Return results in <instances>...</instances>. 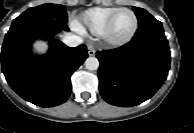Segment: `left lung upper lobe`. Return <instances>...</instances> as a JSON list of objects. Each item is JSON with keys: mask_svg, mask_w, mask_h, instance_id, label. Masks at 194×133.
Segmentation results:
<instances>
[{"mask_svg": "<svg viewBox=\"0 0 194 133\" xmlns=\"http://www.w3.org/2000/svg\"><path fill=\"white\" fill-rule=\"evenodd\" d=\"M134 12L136 13V16L138 17L139 25L144 24L148 21L154 20L155 18L148 13L145 9L133 7Z\"/></svg>", "mask_w": 194, "mask_h": 133, "instance_id": "obj_1", "label": "left lung upper lobe"}]
</instances>
